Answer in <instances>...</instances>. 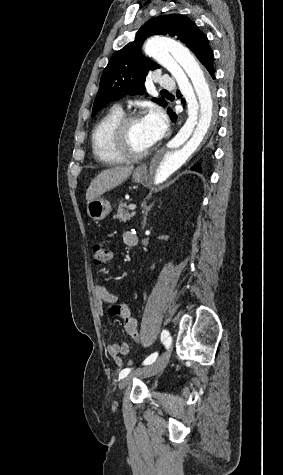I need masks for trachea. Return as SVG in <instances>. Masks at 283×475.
I'll use <instances>...</instances> for the list:
<instances>
[{"mask_svg":"<svg viewBox=\"0 0 283 475\" xmlns=\"http://www.w3.org/2000/svg\"><path fill=\"white\" fill-rule=\"evenodd\" d=\"M162 93H165L167 95H171V94H169V92H167V90H162Z\"/></svg>","mask_w":283,"mask_h":475,"instance_id":"1","label":"trachea"}]
</instances>
